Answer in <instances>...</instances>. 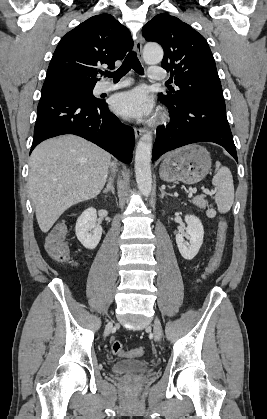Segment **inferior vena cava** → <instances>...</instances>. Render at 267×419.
<instances>
[{"mask_svg":"<svg viewBox=\"0 0 267 419\" xmlns=\"http://www.w3.org/2000/svg\"><path fill=\"white\" fill-rule=\"evenodd\" d=\"M111 169H112V171H115V164L114 163L111 164Z\"/></svg>","mask_w":267,"mask_h":419,"instance_id":"602c4592","label":"inferior vena cava"}]
</instances>
